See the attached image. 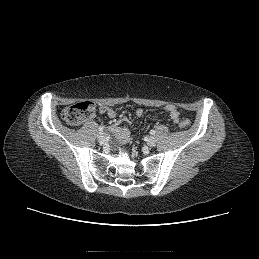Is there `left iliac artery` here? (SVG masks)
<instances>
[{"instance_id": "left-iliac-artery-1", "label": "left iliac artery", "mask_w": 259, "mask_h": 259, "mask_svg": "<svg viewBox=\"0 0 259 259\" xmlns=\"http://www.w3.org/2000/svg\"><path fill=\"white\" fill-rule=\"evenodd\" d=\"M150 134H151V135H154V134H155V131H154V130H151V131H150Z\"/></svg>"}]
</instances>
